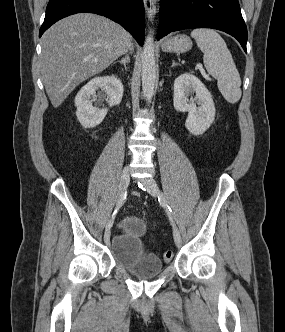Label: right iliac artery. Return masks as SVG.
I'll list each match as a JSON object with an SVG mask.
<instances>
[{"label": "right iliac artery", "mask_w": 285, "mask_h": 332, "mask_svg": "<svg viewBox=\"0 0 285 332\" xmlns=\"http://www.w3.org/2000/svg\"><path fill=\"white\" fill-rule=\"evenodd\" d=\"M126 197H127V191L123 192L120 194L119 196V199L116 203V207H115V210L111 216V218L109 219L107 225H106V230H109L112 225H113V222H114V219H115V216L117 214V212L119 211V209L121 208V206L124 204L125 200H126Z\"/></svg>", "instance_id": "82829eb1"}]
</instances>
